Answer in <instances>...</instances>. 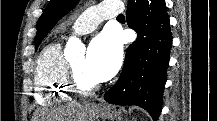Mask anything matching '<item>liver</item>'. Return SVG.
Wrapping results in <instances>:
<instances>
[{
    "mask_svg": "<svg viewBox=\"0 0 217 121\" xmlns=\"http://www.w3.org/2000/svg\"><path fill=\"white\" fill-rule=\"evenodd\" d=\"M96 105H80L77 103L71 104L61 109L51 112H43L42 119H59L67 121H95Z\"/></svg>",
    "mask_w": 217,
    "mask_h": 121,
    "instance_id": "obj_1",
    "label": "liver"
}]
</instances>
